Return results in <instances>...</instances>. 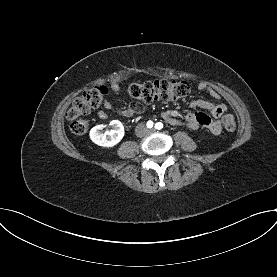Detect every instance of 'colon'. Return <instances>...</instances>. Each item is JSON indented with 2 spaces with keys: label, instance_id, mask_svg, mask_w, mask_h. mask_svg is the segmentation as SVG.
<instances>
[{
  "label": "colon",
  "instance_id": "1",
  "mask_svg": "<svg viewBox=\"0 0 277 277\" xmlns=\"http://www.w3.org/2000/svg\"><path fill=\"white\" fill-rule=\"evenodd\" d=\"M190 86L185 81L176 80H148L132 83L126 87V92L134 99L144 102H171L188 95ZM108 89L105 86H96L87 89L76 98L67 112L71 121L70 129L74 134L82 135L88 130V122L81 117L92 109L101 106L105 101ZM222 123L226 130L233 131L236 127L235 119L231 114H224Z\"/></svg>",
  "mask_w": 277,
  "mask_h": 277
}]
</instances>
